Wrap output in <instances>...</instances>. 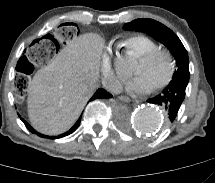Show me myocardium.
<instances>
[{
    "label": "myocardium",
    "instance_id": "myocardium-1",
    "mask_svg": "<svg viewBox=\"0 0 215 183\" xmlns=\"http://www.w3.org/2000/svg\"><path fill=\"white\" fill-rule=\"evenodd\" d=\"M158 56H162L168 61L169 69L165 79L162 80L160 83L156 84L154 87H152L153 91H157L168 86L173 80L175 71H176V63H175L174 57L171 54V52L165 48L157 47L153 50H150L140 55L139 60L142 62H150Z\"/></svg>",
    "mask_w": 215,
    "mask_h": 183
}]
</instances>
